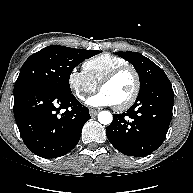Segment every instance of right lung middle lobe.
Here are the masks:
<instances>
[{
    "mask_svg": "<svg viewBox=\"0 0 193 193\" xmlns=\"http://www.w3.org/2000/svg\"><path fill=\"white\" fill-rule=\"evenodd\" d=\"M100 52L60 45L43 48L31 55L23 64L15 83L14 94L37 86L71 93L69 78L72 70L85 59Z\"/></svg>",
    "mask_w": 193,
    "mask_h": 193,
    "instance_id": "dd1d6c3e",
    "label": "right lung middle lobe"
}]
</instances>
